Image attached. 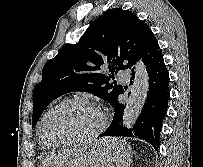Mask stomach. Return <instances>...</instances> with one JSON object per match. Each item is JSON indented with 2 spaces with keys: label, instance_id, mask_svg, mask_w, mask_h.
Wrapping results in <instances>:
<instances>
[{
  "label": "stomach",
  "instance_id": "obj_1",
  "mask_svg": "<svg viewBox=\"0 0 203 167\" xmlns=\"http://www.w3.org/2000/svg\"><path fill=\"white\" fill-rule=\"evenodd\" d=\"M131 155V152L129 153ZM118 157L126 160L127 156L120 151V148H115L114 144L98 142L96 146L89 151L83 158L82 162L77 167H118ZM130 158V157H129Z\"/></svg>",
  "mask_w": 203,
  "mask_h": 167
}]
</instances>
